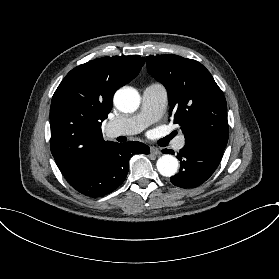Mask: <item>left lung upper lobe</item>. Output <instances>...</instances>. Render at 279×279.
Listing matches in <instances>:
<instances>
[{
    "label": "left lung upper lobe",
    "instance_id": "5c2ea615",
    "mask_svg": "<svg viewBox=\"0 0 279 279\" xmlns=\"http://www.w3.org/2000/svg\"><path fill=\"white\" fill-rule=\"evenodd\" d=\"M148 73L167 89L170 116L181 126L185 144L224 150L229 136L227 105L210 72L198 61L177 55L146 57Z\"/></svg>",
    "mask_w": 279,
    "mask_h": 279
}]
</instances>
